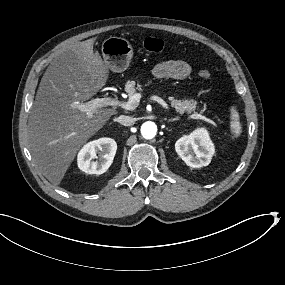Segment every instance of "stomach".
<instances>
[{"instance_id": "0dacf381", "label": "stomach", "mask_w": 285, "mask_h": 285, "mask_svg": "<svg viewBox=\"0 0 285 285\" xmlns=\"http://www.w3.org/2000/svg\"><path fill=\"white\" fill-rule=\"evenodd\" d=\"M102 56L109 69L113 72H122L130 64L133 48L124 38L109 37L102 43Z\"/></svg>"}]
</instances>
